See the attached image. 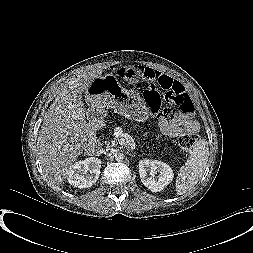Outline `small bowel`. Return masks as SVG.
I'll list each match as a JSON object with an SVG mask.
<instances>
[{
	"mask_svg": "<svg viewBox=\"0 0 253 253\" xmlns=\"http://www.w3.org/2000/svg\"><path fill=\"white\" fill-rule=\"evenodd\" d=\"M148 71L150 74H156L158 78L165 83H169L171 86L181 85L178 81L164 73L152 69H148ZM159 126L164 135L172 138L178 137L183 133H194L198 130V122L194 119L188 118L182 112L175 113L170 120L161 118L159 120Z\"/></svg>",
	"mask_w": 253,
	"mask_h": 253,
	"instance_id": "1",
	"label": "small bowel"
}]
</instances>
